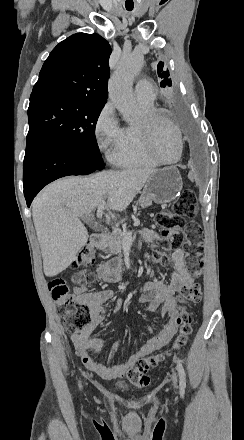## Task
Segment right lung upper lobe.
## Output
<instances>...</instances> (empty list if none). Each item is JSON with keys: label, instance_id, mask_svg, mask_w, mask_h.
I'll return each mask as SVG.
<instances>
[{"label": "right lung upper lobe", "instance_id": "1", "mask_svg": "<svg viewBox=\"0 0 244 440\" xmlns=\"http://www.w3.org/2000/svg\"><path fill=\"white\" fill-rule=\"evenodd\" d=\"M109 43L98 34H74L44 62L30 100L89 99L106 102Z\"/></svg>", "mask_w": 244, "mask_h": 440}]
</instances>
